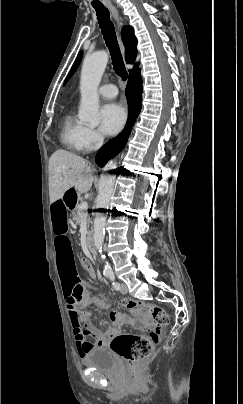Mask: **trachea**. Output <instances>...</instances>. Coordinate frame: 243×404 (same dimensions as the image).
Segmentation results:
<instances>
[{
    "label": "trachea",
    "instance_id": "3493384b",
    "mask_svg": "<svg viewBox=\"0 0 243 404\" xmlns=\"http://www.w3.org/2000/svg\"><path fill=\"white\" fill-rule=\"evenodd\" d=\"M99 27L103 34L105 43L109 49L112 65L115 73L121 77L122 80H127V71L123 62V57L117 43L115 28L110 20L109 10L104 6L95 7Z\"/></svg>",
    "mask_w": 243,
    "mask_h": 404
}]
</instances>
